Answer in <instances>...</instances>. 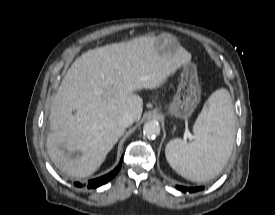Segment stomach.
<instances>
[{
  "label": "stomach",
  "instance_id": "1",
  "mask_svg": "<svg viewBox=\"0 0 275 215\" xmlns=\"http://www.w3.org/2000/svg\"><path fill=\"white\" fill-rule=\"evenodd\" d=\"M155 48L161 55H173L180 45L177 39L167 33L157 36ZM201 98V87L198 81L197 68L194 64L183 66L177 92L168 107V114L179 119H188Z\"/></svg>",
  "mask_w": 275,
  "mask_h": 215
}]
</instances>
